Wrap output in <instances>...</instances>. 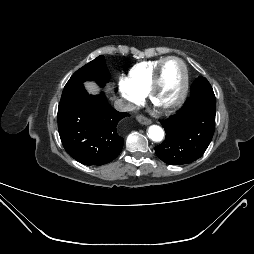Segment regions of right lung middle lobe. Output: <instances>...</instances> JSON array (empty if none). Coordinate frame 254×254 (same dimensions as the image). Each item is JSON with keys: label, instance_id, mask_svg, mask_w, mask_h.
<instances>
[{"label": "right lung middle lobe", "instance_id": "dd1d6c3e", "mask_svg": "<svg viewBox=\"0 0 254 254\" xmlns=\"http://www.w3.org/2000/svg\"><path fill=\"white\" fill-rule=\"evenodd\" d=\"M87 80H94L102 87L109 81V72L103 55L98 56L96 59L77 70L65 86L83 83Z\"/></svg>", "mask_w": 254, "mask_h": 254}]
</instances>
